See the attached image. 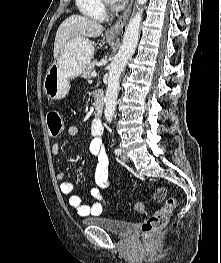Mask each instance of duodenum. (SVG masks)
I'll use <instances>...</instances> for the list:
<instances>
[{
  "label": "duodenum",
  "mask_w": 221,
  "mask_h": 263,
  "mask_svg": "<svg viewBox=\"0 0 221 263\" xmlns=\"http://www.w3.org/2000/svg\"><path fill=\"white\" fill-rule=\"evenodd\" d=\"M94 117L93 123L97 129H102V112L104 107V97L103 94L100 92H95L94 97Z\"/></svg>",
  "instance_id": "1"
}]
</instances>
